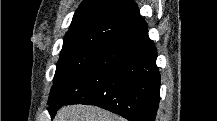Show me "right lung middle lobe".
Wrapping results in <instances>:
<instances>
[{"label": "right lung middle lobe", "instance_id": "1", "mask_svg": "<svg viewBox=\"0 0 217 121\" xmlns=\"http://www.w3.org/2000/svg\"><path fill=\"white\" fill-rule=\"evenodd\" d=\"M125 26L123 22L105 20L69 30L64 37L49 99L86 70Z\"/></svg>", "mask_w": 217, "mask_h": 121}]
</instances>
